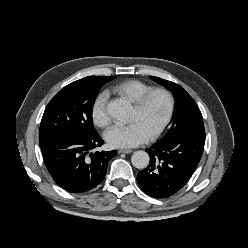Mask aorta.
I'll use <instances>...</instances> for the list:
<instances>
[{"label":"aorta","instance_id":"obj_1","mask_svg":"<svg viewBox=\"0 0 248 248\" xmlns=\"http://www.w3.org/2000/svg\"><path fill=\"white\" fill-rule=\"evenodd\" d=\"M130 111V105L122 99L113 100L107 105L108 114L119 121H126L129 118ZM149 161V154L142 150L134 152L131 157V162L133 166L138 169L146 168L149 164Z\"/></svg>","mask_w":248,"mask_h":248}]
</instances>
